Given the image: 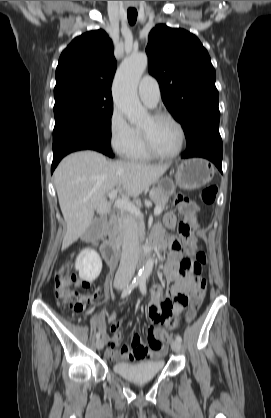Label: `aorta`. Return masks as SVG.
<instances>
[{
	"label": "aorta",
	"mask_w": 271,
	"mask_h": 418,
	"mask_svg": "<svg viewBox=\"0 0 271 418\" xmlns=\"http://www.w3.org/2000/svg\"><path fill=\"white\" fill-rule=\"evenodd\" d=\"M148 64L145 53H137L126 58L120 65L114 80L113 99L115 106L121 110L131 124H140L148 118L147 110L142 106L137 95L139 80ZM155 260L149 258L138 274L144 280L152 272Z\"/></svg>",
	"instance_id": "obj_1"
}]
</instances>
